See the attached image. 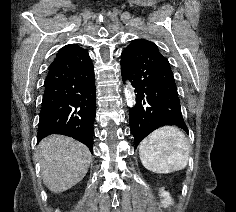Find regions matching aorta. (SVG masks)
Segmentation results:
<instances>
[{
  "label": "aorta",
  "instance_id": "1",
  "mask_svg": "<svg viewBox=\"0 0 236 212\" xmlns=\"http://www.w3.org/2000/svg\"><path fill=\"white\" fill-rule=\"evenodd\" d=\"M125 97L127 100V104L129 106H133L134 98H133V95H132L131 91L129 90L128 86H126V88H125Z\"/></svg>",
  "mask_w": 236,
  "mask_h": 212
}]
</instances>
